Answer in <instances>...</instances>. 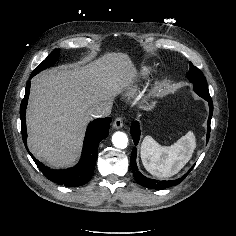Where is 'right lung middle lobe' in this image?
Returning <instances> with one entry per match:
<instances>
[{
    "label": "right lung middle lobe",
    "instance_id": "right-lung-middle-lobe-1",
    "mask_svg": "<svg viewBox=\"0 0 236 236\" xmlns=\"http://www.w3.org/2000/svg\"><path fill=\"white\" fill-rule=\"evenodd\" d=\"M59 49L54 50L40 65H38L32 72V76H35L38 72L52 66L58 59Z\"/></svg>",
    "mask_w": 236,
    "mask_h": 236
}]
</instances>
